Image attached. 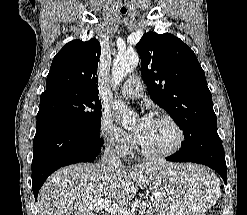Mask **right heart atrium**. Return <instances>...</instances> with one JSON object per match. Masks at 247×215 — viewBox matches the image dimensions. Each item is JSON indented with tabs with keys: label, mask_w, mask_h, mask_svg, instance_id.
<instances>
[{
	"label": "right heart atrium",
	"mask_w": 247,
	"mask_h": 215,
	"mask_svg": "<svg viewBox=\"0 0 247 215\" xmlns=\"http://www.w3.org/2000/svg\"><path fill=\"white\" fill-rule=\"evenodd\" d=\"M99 133L105 145L117 154L124 156L130 152L133 145L131 136L118 127L107 112L101 114Z\"/></svg>",
	"instance_id": "obj_1"
}]
</instances>
